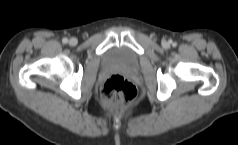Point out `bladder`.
Returning a JSON list of instances; mask_svg holds the SVG:
<instances>
[{
	"instance_id": "obj_1",
	"label": "bladder",
	"mask_w": 238,
	"mask_h": 145,
	"mask_svg": "<svg viewBox=\"0 0 238 145\" xmlns=\"http://www.w3.org/2000/svg\"><path fill=\"white\" fill-rule=\"evenodd\" d=\"M102 63L107 68L134 71L139 66V58L128 47L113 46L104 53Z\"/></svg>"
}]
</instances>
